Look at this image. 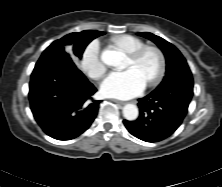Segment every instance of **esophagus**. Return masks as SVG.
<instances>
[{
	"label": "esophagus",
	"instance_id": "obj_1",
	"mask_svg": "<svg viewBox=\"0 0 222 187\" xmlns=\"http://www.w3.org/2000/svg\"><path fill=\"white\" fill-rule=\"evenodd\" d=\"M112 102H115L117 104H120V105H124L125 103L122 102V101H119V100H116V99H110Z\"/></svg>",
	"mask_w": 222,
	"mask_h": 187
}]
</instances>
